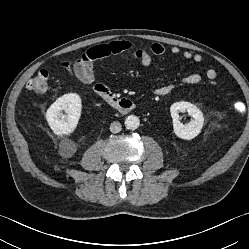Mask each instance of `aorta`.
I'll return each instance as SVG.
<instances>
[{
    "label": "aorta",
    "mask_w": 249,
    "mask_h": 249,
    "mask_svg": "<svg viewBox=\"0 0 249 249\" xmlns=\"http://www.w3.org/2000/svg\"><path fill=\"white\" fill-rule=\"evenodd\" d=\"M139 125H140V120L137 116L130 115V116L126 117L125 126L127 129L135 130L139 127Z\"/></svg>",
    "instance_id": "1"
}]
</instances>
